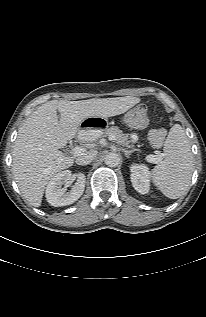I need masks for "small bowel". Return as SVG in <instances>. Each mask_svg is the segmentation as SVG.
Wrapping results in <instances>:
<instances>
[{"instance_id": "small-bowel-1", "label": "small bowel", "mask_w": 206, "mask_h": 317, "mask_svg": "<svg viewBox=\"0 0 206 317\" xmlns=\"http://www.w3.org/2000/svg\"><path fill=\"white\" fill-rule=\"evenodd\" d=\"M136 138H137V137H136V135H135V134L131 135V140H132V141H135V140H136Z\"/></svg>"}]
</instances>
